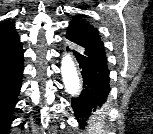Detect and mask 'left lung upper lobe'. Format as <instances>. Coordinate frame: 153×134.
I'll use <instances>...</instances> for the list:
<instances>
[{
	"label": "left lung upper lobe",
	"instance_id": "5c2ea615",
	"mask_svg": "<svg viewBox=\"0 0 153 134\" xmlns=\"http://www.w3.org/2000/svg\"><path fill=\"white\" fill-rule=\"evenodd\" d=\"M83 17V15H78L73 21H70L66 38L88 52L106 57L97 29L82 20Z\"/></svg>",
	"mask_w": 153,
	"mask_h": 134
}]
</instances>
